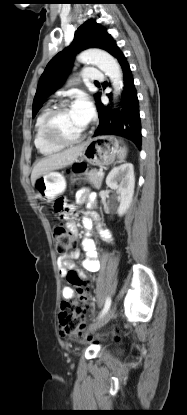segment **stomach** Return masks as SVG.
<instances>
[{
    "label": "stomach",
    "instance_id": "obj_1",
    "mask_svg": "<svg viewBox=\"0 0 187 415\" xmlns=\"http://www.w3.org/2000/svg\"><path fill=\"white\" fill-rule=\"evenodd\" d=\"M80 157L94 166H106L114 162L120 148L118 140L113 136H99L83 144ZM35 197L48 204L66 189L64 176L59 172H48L40 176L33 185Z\"/></svg>",
    "mask_w": 187,
    "mask_h": 415
}]
</instances>
